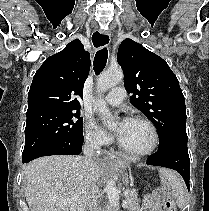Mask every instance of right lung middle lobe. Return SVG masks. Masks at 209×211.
I'll use <instances>...</instances> for the list:
<instances>
[{
    "mask_svg": "<svg viewBox=\"0 0 209 211\" xmlns=\"http://www.w3.org/2000/svg\"><path fill=\"white\" fill-rule=\"evenodd\" d=\"M78 110L45 109L27 113L22 158L54 143L83 141Z\"/></svg>",
    "mask_w": 209,
    "mask_h": 211,
    "instance_id": "right-lung-middle-lobe-1",
    "label": "right lung middle lobe"
}]
</instances>
